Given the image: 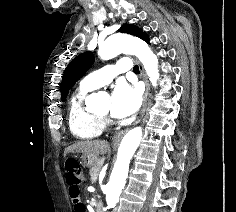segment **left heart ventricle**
I'll return each instance as SVG.
<instances>
[{
  "mask_svg": "<svg viewBox=\"0 0 236 212\" xmlns=\"http://www.w3.org/2000/svg\"><path fill=\"white\" fill-rule=\"evenodd\" d=\"M110 106H111V101H110V99H108L104 104V107H103V110L101 111V114H108L109 111H110Z\"/></svg>",
  "mask_w": 236,
  "mask_h": 212,
  "instance_id": "obj_1",
  "label": "left heart ventricle"
}]
</instances>
